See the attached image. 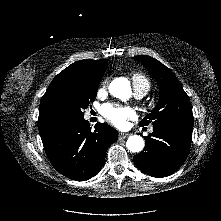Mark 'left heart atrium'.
Wrapping results in <instances>:
<instances>
[{
	"label": "left heart atrium",
	"instance_id": "left-heart-atrium-1",
	"mask_svg": "<svg viewBox=\"0 0 221 221\" xmlns=\"http://www.w3.org/2000/svg\"><path fill=\"white\" fill-rule=\"evenodd\" d=\"M103 115L115 126L123 128L127 120L133 118L135 113L132 109L126 107H113L106 105L102 110Z\"/></svg>",
	"mask_w": 221,
	"mask_h": 221
}]
</instances>
